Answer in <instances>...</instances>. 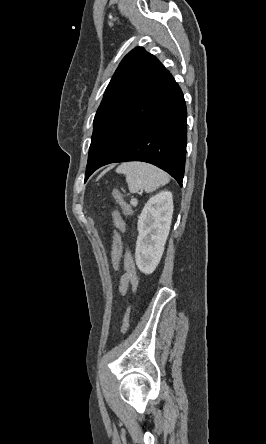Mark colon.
I'll return each mask as SVG.
<instances>
[{"label": "colon", "instance_id": "1", "mask_svg": "<svg viewBox=\"0 0 266 444\" xmlns=\"http://www.w3.org/2000/svg\"><path fill=\"white\" fill-rule=\"evenodd\" d=\"M113 195L118 205L122 209L123 213L125 215H129L131 213L130 207L123 199L120 191L115 189L113 191ZM112 218L115 226V232H114L112 250H111V265L114 270H118L123 255V242H122L121 233L124 230V220L118 211L113 212ZM129 324H130V309L128 308L123 317L120 328L122 334H125L127 332Z\"/></svg>", "mask_w": 266, "mask_h": 444}]
</instances>
